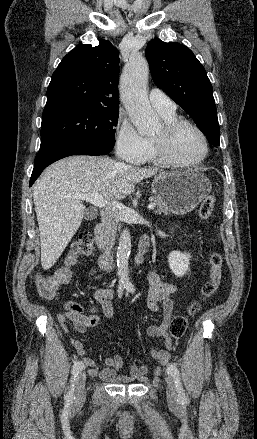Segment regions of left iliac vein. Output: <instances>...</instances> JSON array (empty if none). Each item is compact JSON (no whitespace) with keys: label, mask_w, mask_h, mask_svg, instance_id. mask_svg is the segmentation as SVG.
I'll list each match as a JSON object with an SVG mask.
<instances>
[{"label":"left iliac vein","mask_w":257,"mask_h":439,"mask_svg":"<svg viewBox=\"0 0 257 439\" xmlns=\"http://www.w3.org/2000/svg\"><path fill=\"white\" fill-rule=\"evenodd\" d=\"M166 394L167 399L170 403H175L177 401V389L174 378L172 376L166 377Z\"/></svg>","instance_id":"1"}]
</instances>
